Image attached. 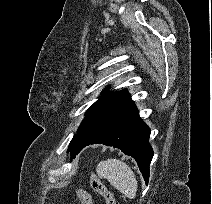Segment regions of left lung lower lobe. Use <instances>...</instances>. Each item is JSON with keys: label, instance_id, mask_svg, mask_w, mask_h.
Here are the masks:
<instances>
[{"label": "left lung lower lobe", "instance_id": "obj_1", "mask_svg": "<svg viewBox=\"0 0 212 204\" xmlns=\"http://www.w3.org/2000/svg\"><path fill=\"white\" fill-rule=\"evenodd\" d=\"M149 127L140 119L134 102L128 97L87 130L79 134L70 150L76 156L85 146L105 144L133 157L148 183L153 150Z\"/></svg>", "mask_w": 212, "mask_h": 204}]
</instances>
